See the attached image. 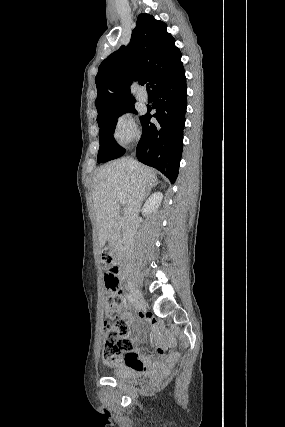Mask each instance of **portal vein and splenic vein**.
<instances>
[{"label": "portal vein and splenic vein", "mask_w": 285, "mask_h": 427, "mask_svg": "<svg viewBox=\"0 0 285 427\" xmlns=\"http://www.w3.org/2000/svg\"><path fill=\"white\" fill-rule=\"evenodd\" d=\"M117 198H118V202L120 204H125V199H124V197H123V195L121 193L117 194Z\"/></svg>", "instance_id": "portal-vein-and-splenic-vein-1"}]
</instances>
